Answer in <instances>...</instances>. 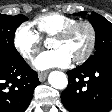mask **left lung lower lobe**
<instances>
[{
  "label": "left lung lower lobe",
  "mask_w": 112,
  "mask_h": 112,
  "mask_svg": "<svg viewBox=\"0 0 112 112\" xmlns=\"http://www.w3.org/2000/svg\"><path fill=\"white\" fill-rule=\"evenodd\" d=\"M61 101L69 112H109L112 109V54L67 72Z\"/></svg>",
  "instance_id": "left-lung-lower-lobe-1"
}]
</instances>
